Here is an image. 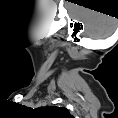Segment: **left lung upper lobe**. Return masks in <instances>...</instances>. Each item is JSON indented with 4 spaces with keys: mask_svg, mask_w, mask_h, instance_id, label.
<instances>
[{
    "mask_svg": "<svg viewBox=\"0 0 118 118\" xmlns=\"http://www.w3.org/2000/svg\"><path fill=\"white\" fill-rule=\"evenodd\" d=\"M52 110H55L57 112H64L68 114V110L65 108H59V107H50Z\"/></svg>",
    "mask_w": 118,
    "mask_h": 118,
    "instance_id": "5c2ea615",
    "label": "left lung upper lobe"
}]
</instances>
